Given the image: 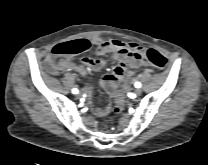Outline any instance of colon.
Returning <instances> with one entry per match:
<instances>
[{
	"label": "colon",
	"mask_w": 208,
	"mask_h": 165,
	"mask_svg": "<svg viewBox=\"0 0 208 165\" xmlns=\"http://www.w3.org/2000/svg\"><path fill=\"white\" fill-rule=\"evenodd\" d=\"M90 48L86 40H73L56 45L49 56L46 58L45 67L50 74H56L60 69L62 61L69 57L79 55ZM142 58L156 68L163 69L167 66V59L159 51L153 48L143 49ZM115 98V113H121L123 110V99L120 93L113 95Z\"/></svg>",
	"instance_id": "obj_1"
}]
</instances>
